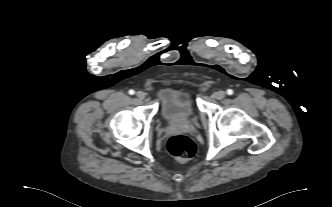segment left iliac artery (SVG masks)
I'll return each mask as SVG.
<instances>
[{
    "label": "left iliac artery",
    "instance_id": "left-iliac-artery-1",
    "mask_svg": "<svg viewBox=\"0 0 332 207\" xmlns=\"http://www.w3.org/2000/svg\"><path fill=\"white\" fill-rule=\"evenodd\" d=\"M227 94H228V95H232V94H233V90H232V89H228V90H227Z\"/></svg>",
    "mask_w": 332,
    "mask_h": 207
}]
</instances>
